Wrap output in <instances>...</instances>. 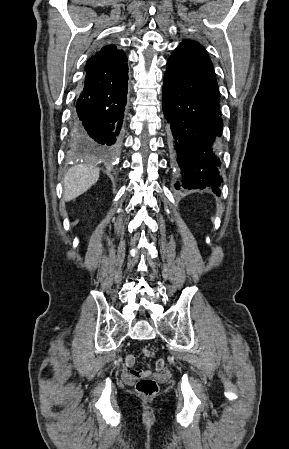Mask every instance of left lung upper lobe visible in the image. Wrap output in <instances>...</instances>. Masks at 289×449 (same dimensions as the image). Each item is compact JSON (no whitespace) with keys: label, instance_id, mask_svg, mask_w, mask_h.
Returning a JSON list of instances; mask_svg holds the SVG:
<instances>
[{"label":"left lung upper lobe","instance_id":"1","mask_svg":"<svg viewBox=\"0 0 289 449\" xmlns=\"http://www.w3.org/2000/svg\"><path fill=\"white\" fill-rule=\"evenodd\" d=\"M179 47L198 51V52H201V53L207 55V52L204 49V47L201 44H199L198 42L193 41V40H184L183 42L180 43Z\"/></svg>","mask_w":289,"mask_h":449}]
</instances>
